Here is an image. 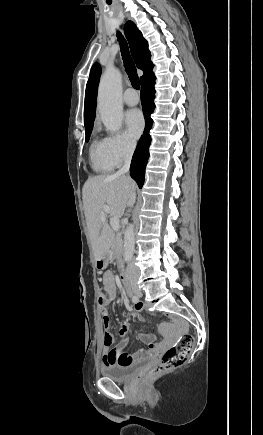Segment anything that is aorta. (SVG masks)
<instances>
[{"label": "aorta", "mask_w": 263, "mask_h": 435, "mask_svg": "<svg viewBox=\"0 0 263 435\" xmlns=\"http://www.w3.org/2000/svg\"><path fill=\"white\" fill-rule=\"evenodd\" d=\"M121 74L108 69L98 89V109L107 131L117 132L123 121ZM135 248L134 224L130 223L124 233V260L130 262Z\"/></svg>", "instance_id": "1"}]
</instances>
